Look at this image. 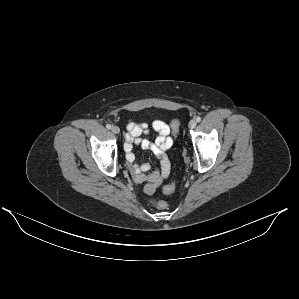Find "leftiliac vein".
Masks as SVG:
<instances>
[{
  "label": "left iliac vein",
  "instance_id": "1",
  "mask_svg": "<svg viewBox=\"0 0 299 299\" xmlns=\"http://www.w3.org/2000/svg\"><path fill=\"white\" fill-rule=\"evenodd\" d=\"M196 121L195 120H191L190 122H189V128L190 129H194L195 127H196Z\"/></svg>",
  "mask_w": 299,
  "mask_h": 299
}]
</instances>
